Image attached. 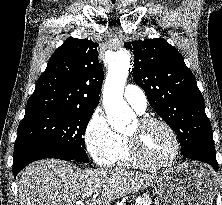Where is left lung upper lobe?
<instances>
[{"label": "left lung upper lobe", "instance_id": "1", "mask_svg": "<svg viewBox=\"0 0 222 205\" xmlns=\"http://www.w3.org/2000/svg\"><path fill=\"white\" fill-rule=\"evenodd\" d=\"M125 47L135 55L133 80L177 134L182 155L216 159L203 96L180 53L162 38L128 42Z\"/></svg>", "mask_w": 222, "mask_h": 205}]
</instances>
